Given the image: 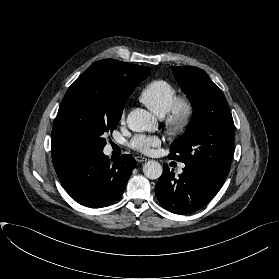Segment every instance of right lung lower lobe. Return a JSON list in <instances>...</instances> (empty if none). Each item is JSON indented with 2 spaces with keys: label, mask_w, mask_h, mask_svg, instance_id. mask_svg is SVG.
<instances>
[{
  "label": "right lung lower lobe",
  "mask_w": 279,
  "mask_h": 279,
  "mask_svg": "<svg viewBox=\"0 0 279 279\" xmlns=\"http://www.w3.org/2000/svg\"><path fill=\"white\" fill-rule=\"evenodd\" d=\"M58 178L79 204L90 208L106 207L123 194L135 167V159L124 154L110 161L103 151L53 162Z\"/></svg>",
  "instance_id": "right-lung-lower-lobe-1"
}]
</instances>
